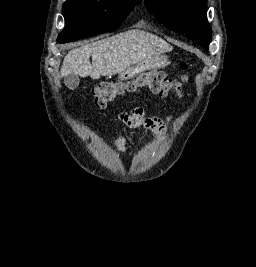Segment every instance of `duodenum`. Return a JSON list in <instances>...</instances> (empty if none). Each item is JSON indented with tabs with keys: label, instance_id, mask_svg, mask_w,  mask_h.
I'll use <instances>...</instances> for the list:
<instances>
[{
	"label": "duodenum",
	"instance_id": "duodenum-1",
	"mask_svg": "<svg viewBox=\"0 0 256 267\" xmlns=\"http://www.w3.org/2000/svg\"><path fill=\"white\" fill-rule=\"evenodd\" d=\"M154 71V66H143V68H138V66H126V70L122 71L120 74V79H134L135 73H150Z\"/></svg>",
	"mask_w": 256,
	"mask_h": 267
}]
</instances>
